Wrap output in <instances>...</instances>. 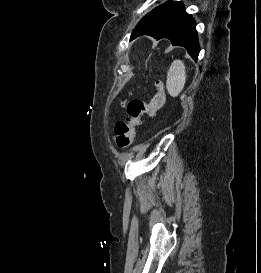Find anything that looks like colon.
<instances>
[{
	"label": "colon",
	"mask_w": 261,
	"mask_h": 273,
	"mask_svg": "<svg viewBox=\"0 0 261 273\" xmlns=\"http://www.w3.org/2000/svg\"><path fill=\"white\" fill-rule=\"evenodd\" d=\"M165 93L160 81L156 82V92L149 102L131 99L124 102L128 116L124 121H118L114 127L115 142L120 149H127L132 144L136 130L144 117L152 118L165 104Z\"/></svg>",
	"instance_id": "obj_1"
}]
</instances>
